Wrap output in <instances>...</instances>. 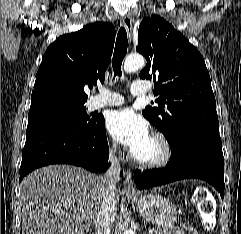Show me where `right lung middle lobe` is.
Listing matches in <instances>:
<instances>
[{
  "label": "right lung middle lobe",
  "mask_w": 241,
  "mask_h": 234,
  "mask_svg": "<svg viewBox=\"0 0 241 234\" xmlns=\"http://www.w3.org/2000/svg\"><path fill=\"white\" fill-rule=\"evenodd\" d=\"M97 121L98 118H89L84 104L55 100L31 105L27 128L44 124H64L89 129Z\"/></svg>",
  "instance_id": "1"
}]
</instances>
